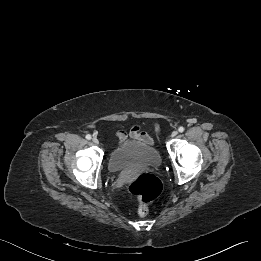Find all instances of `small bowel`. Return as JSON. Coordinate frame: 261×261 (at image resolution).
<instances>
[{"instance_id":"c3829d8e","label":"small bowel","mask_w":261,"mask_h":261,"mask_svg":"<svg viewBox=\"0 0 261 261\" xmlns=\"http://www.w3.org/2000/svg\"><path fill=\"white\" fill-rule=\"evenodd\" d=\"M153 128L156 132H159V126L156 123H153ZM130 136L134 139L146 142L148 144H152L153 140L152 138L145 132L140 130V127L138 125H134L131 130H130ZM116 137L119 140V144H122L125 142L127 139V134L125 131H117L116 132Z\"/></svg>"}]
</instances>
